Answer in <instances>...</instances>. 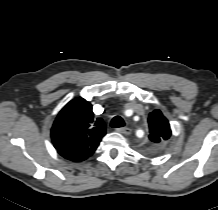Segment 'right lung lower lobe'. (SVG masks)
Returning <instances> with one entry per match:
<instances>
[{
  "mask_svg": "<svg viewBox=\"0 0 218 210\" xmlns=\"http://www.w3.org/2000/svg\"><path fill=\"white\" fill-rule=\"evenodd\" d=\"M59 152V154L61 155V156H63L64 158H66V159H68V160H72V161H75V162H79V161H83V160H85L84 158H79V157H77V156H75V155H72V154H70V153H67V152H63V151H58Z\"/></svg>",
  "mask_w": 218,
  "mask_h": 210,
  "instance_id": "98d812e1",
  "label": "right lung lower lobe"
}]
</instances>
